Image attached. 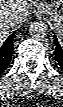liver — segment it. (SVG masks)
Instances as JSON below:
<instances>
[{"label": "liver", "instance_id": "1", "mask_svg": "<svg viewBox=\"0 0 63 107\" xmlns=\"http://www.w3.org/2000/svg\"><path fill=\"white\" fill-rule=\"evenodd\" d=\"M29 7L27 0H0V43L7 38L10 29L26 21ZM10 16L16 17L14 25L6 23Z\"/></svg>", "mask_w": 63, "mask_h": 107}]
</instances>
